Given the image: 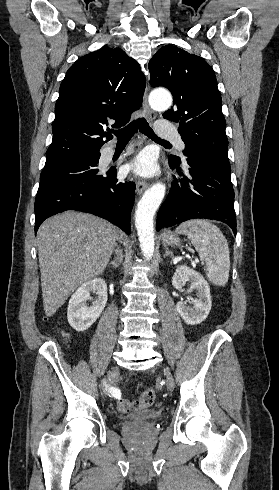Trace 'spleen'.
Listing matches in <instances>:
<instances>
[{
    "label": "spleen",
    "mask_w": 279,
    "mask_h": 490,
    "mask_svg": "<svg viewBox=\"0 0 279 490\" xmlns=\"http://www.w3.org/2000/svg\"><path fill=\"white\" fill-rule=\"evenodd\" d=\"M191 240L201 260L206 262L207 278L214 286H225L230 272V254L226 238L208 220H189L176 228Z\"/></svg>",
    "instance_id": "spleen-1"
}]
</instances>
